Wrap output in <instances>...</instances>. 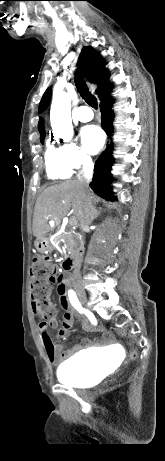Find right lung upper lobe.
<instances>
[{
    "label": "right lung upper lobe",
    "instance_id": "right-lung-upper-lobe-1",
    "mask_svg": "<svg viewBox=\"0 0 165 461\" xmlns=\"http://www.w3.org/2000/svg\"><path fill=\"white\" fill-rule=\"evenodd\" d=\"M78 64L82 72L86 74V68L90 72L94 83L98 84L96 94L100 98L101 102L109 99L110 91L112 88V86L108 83L109 72L106 68H104L105 61L102 59L99 53L93 50L92 47H84L79 57ZM50 95L51 89L48 88L43 94L39 104V112H42L47 107ZM38 130L40 132V136L45 135L42 119H40L38 123Z\"/></svg>",
    "mask_w": 165,
    "mask_h": 461
}]
</instances>
